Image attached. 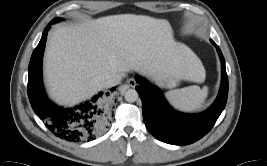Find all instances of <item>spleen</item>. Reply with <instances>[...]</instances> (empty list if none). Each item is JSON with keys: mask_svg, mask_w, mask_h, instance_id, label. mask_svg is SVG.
Instances as JSON below:
<instances>
[{"mask_svg": "<svg viewBox=\"0 0 267 166\" xmlns=\"http://www.w3.org/2000/svg\"><path fill=\"white\" fill-rule=\"evenodd\" d=\"M208 95V88L200 89L198 86H190L170 91L168 97L173 105L184 111H194L202 107Z\"/></svg>", "mask_w": 267, "mask_h": 166, "instance_id": "1", "label": "spleen"}]
</instances>
